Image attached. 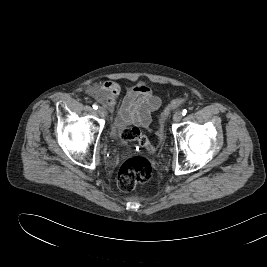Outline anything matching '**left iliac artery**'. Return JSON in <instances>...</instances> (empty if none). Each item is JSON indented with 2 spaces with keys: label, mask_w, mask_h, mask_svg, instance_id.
<instances>
[{
  "label": "left iliac artery",
  "mask_w": 267,
  "mask_h": 267,
  "mask_svg": "<svg viewBox=\"0 0 267 267\" xmlns=\"http://www.w3.org/2000/svg\"><path fill=\"white\" fill-rule=\"evenodd\" d=\"M186 114H187V110L184 109V110L182 111V115L185 116Z\"/></svg>",
  "instance_id": "left-iliac-artery-1"
}]
</instances>
